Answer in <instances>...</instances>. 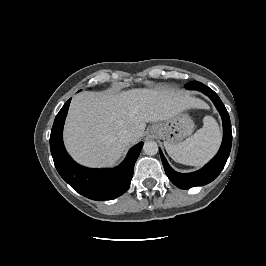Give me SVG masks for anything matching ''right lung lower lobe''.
Returning a JSON list of instances; mask_svg holds the SVG:
<instances>
[{"mask_svg":"<svg viewBox=\"0 0 266 266\" xmlns=\"http://www.w3.org/2000/svg\"><path fill=\"white\" fill-rule=\"evenodd\" d=\"M70 101L57 114L50 135L51 154L58 173L73 189L89 199L104 201L121 196L130 186L143 142L131 148L125 160L115 168L91 169L77 164L66 152L62 138Z\"/></svg>","mask_w":266,"mask_h":266,"instance_id":"obj_1","label":"right lung lower lobe"}]
</instances>
